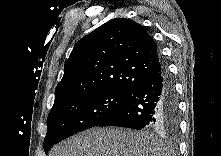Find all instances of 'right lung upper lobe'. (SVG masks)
I'll return each mask as SVG.
<instances>
[{"label":"right lung upper lobe","instance_id":"1","mask_svg":"<svg viewBox=\"0 0 221 156\" xmlns=\"http://www.w3.org/2000/svg\"><path fill=\"white\" fill-rule=\"evenodd\" d=\"M164 68L153 38L142 25L112 19L74 46L56 87L54 105L102 91L131 94Z\"/></svg>","mask_w":221,"mask_h":156}]
</instances>
